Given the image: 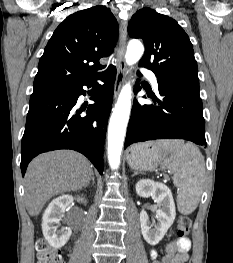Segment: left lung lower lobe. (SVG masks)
Here are the masks:
<instances>
[{
    "label": "left lung lower lobe",
    "instance_id": "0a47b994",
    "mask_svg": "<svg viewBox=\"0 0 233 263\" xmlns=\"http://www.w3.org/2000/svg\"><path fill=\"white\" fill-rule=\"evenodd\" d=\"M138 75L141 74L138 72ZM159 98L152 105L133 103L124 148L154 139H185L207 146L199 86L158 80ZM141 88L137 84L134 92Z\"/></svg>",
    "mask_w": 233,
    "mask_h": 263
}]
</instances>
